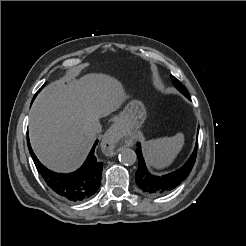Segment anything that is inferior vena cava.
Segmentation results:
<instances>
[{
	"label": "inferior vena cava",
	"mask_w": 246,
	"mask_h": 246,
	"mask_svg": "<svg viewBox=\"0 0 246 246\" xmlns=\"http://www.w3.org/2000/svg\"><path fill=\"white\" fill-rule=\"evenodd\" d=\"M89 128L93 134H98L102 130V126L98 119H93L89 124Z\"/></svg>",
	"instance_id": "obj_1"
}]
</instances>
